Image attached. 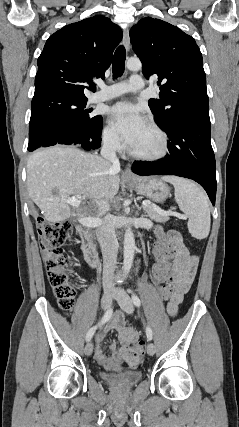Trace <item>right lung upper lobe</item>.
Returning a JSON list of instances; mask_svg holds the SVG:
<instances>
[{
	"label": "right lung upper lobe",
	"instance_id": "right-lung-upper-lobe-1",
	"mask_svg": "<svg viewBox=\"0 0 239 427\" xmlns=\"http://www.w3.org/2000/svg\"><path fill=\"white\" fill-rule=\"evenodd\" d=\"M122 30L109 18L94 16L52 34L38 58L33 99L63 95L87 99L94 78L104 77ZM89 85V87L87 86Z\"/></svg>",
	"mask_w": 239,
	"mask_h": 427
}]
</instances>
